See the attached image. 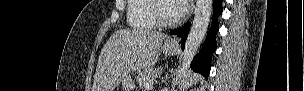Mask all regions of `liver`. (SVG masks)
<instances>
[{
	"label": "liver",
	"mask_w": 304,
	"mask_h": 91,
	"mask_svg": "<svg viewBox=\"0 0 304 91\" xmlns=\"http://www.w3.org/2000/svg\"><path fill=\"white\" fill-rule=\"evenodd\" d=\"M165 38L151 30L116 31L101 50L92 91H113L130 72L149 69Z\"/></svg>",
	"instance_id": "liver-1"
}]
</instances>
